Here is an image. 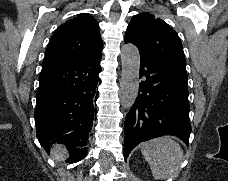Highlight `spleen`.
I'll use <instances>...</instances> for the list:
<instances>
[{
  "label": "spleen",
  "instance_id": "obj_1",
  "mask_svg": "<svg viewBox=\"0 0 228 181\" xmlns=\"http://www.w3.org/2000/svg\"><path fill=\"white\" fill-rule=\"evenodd\" d=\"M141 153L150 165L154 179H176L180 173L183 151L172 137H160L143 143Z\"/></svg>",
  "mask_w": 228,
  "mask_h": 181
}]
</instances>
